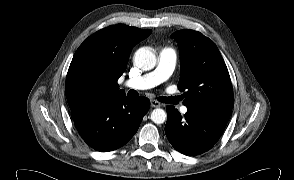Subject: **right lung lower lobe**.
Instances as JSON below:
<instances>
[{
	"label": "right lung lower lobe",
	"mask_w": 294,
	"mask_h": 180,
	"mask_svg": "<svg viewBox=\"0 0 294 180\" xmlns=\"http://www.w3.org/2000/svg\"><path fill=\"white\" fill-rule=\"evenodd\" d=\"M150 107L146 97L125 95L87 104L72 111L74 124L83 140L100 152L125 145L137 132Z\"/></svg>",
	"instance_id": "98d812e1"
}]
</instances>
